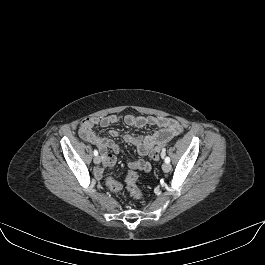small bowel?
I'll list each match as a JSON object with an SVG mask.
<instances>
[{
  "label": "small bowel",
  "mask_w": 265,
  "mask_h": 265,
  "mask_svg": "<svg viewBox=\"0 0 265 265\" xmlns=\"http://www.w3.org/2000/svg\"><path fill=\"white\" fill-rule=\"evenodd\" d=\"M118 122L119 117L116 114L103 117H92L84 121L85 130L81 131V136L85 141L97 146L102 151V159L106 167H113L116 162L115 155L107 152V150L118 153L120 150L119 146L113 139L100 137L92 129L96 125L108 127ZM125 123L137 128L145 126H155L158 128V130L151 135L138 136L128 134L124 137V141L127 144L135 146L138 154L141 156L149 155L153 148L166 144L182 131L181 125L176 120L167 117L127 115L125 117ZM109 135L112 138H116L119 136V132L115 129H111ZM128 167L135 171L149 172L151 170V164L143 159L129 161ZM95 176L101 178V169L95 171Z\"/></svg>",
  "instance_id": "small-bowel-1"
}]
</instances>
